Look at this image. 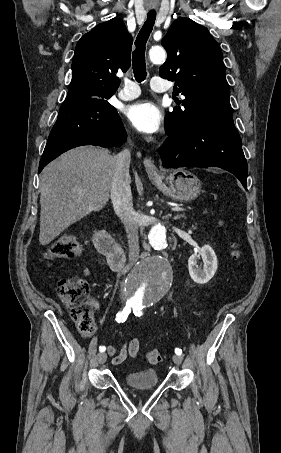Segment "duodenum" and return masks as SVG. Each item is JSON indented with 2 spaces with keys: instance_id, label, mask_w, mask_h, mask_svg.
Here are the masks:
<instances>
[{
  "instance_id": "410a0bca",
  "label": "duodenum",
  "mask_w": 281,
  "mask_h": 453,
  "mask_svg": "<svg viewBox=\"0 0 281 453\" xmlns=\"http://www.w3.org/2000/svg\"><path fill=\"white\" fill-rule=\"evenodd\" d=\"M94 243L98 251L106 256L113 270L119 271L124 267L125 253L107 231L98 230L94 235Z\"/></svg>"
}]
</instances>
